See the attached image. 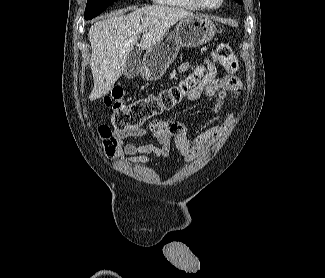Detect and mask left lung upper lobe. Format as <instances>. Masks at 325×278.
I'll list each match as a JSON object with an SVG mask.
<instances>
[{"instance_id":"1","label":"left lung upper lobe","mask_w":325,"mask_h":278,"mask_svg":"<svg viewBox=\"0 0 325 278\" xmlns=\"http://www.w3.org/2000/svg\"><path fill=\"white\" fill-rule=\"evenodd\" d=\"M236 2H238L239 4H243L242 0H235Z\"/></svg>"}]
</instances>
